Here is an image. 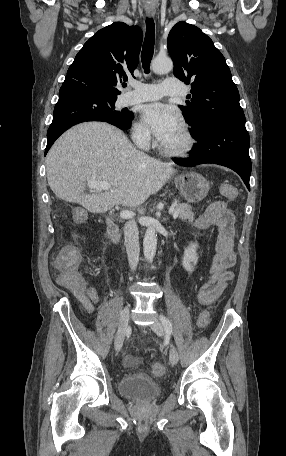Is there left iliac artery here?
<instances>
[{"mask_svg":"<svg viewBox=\"0 0 286 456\" xmlns=\"http://www.w3.org/2000/svg\"><path fill=\"white\" fill-rule=\"evenodd\" d=\"M160 320H161V322H162V324L164 326V329H165L166 333L172 334L173 333V329H172V324H171L170 320L164 315L160 316Z\"/></svg>","mask_w":286,"mask_h":456,"instance_id":"obj_1","label":"left iliac artery"}]
</instances>
